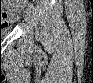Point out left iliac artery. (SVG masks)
<instances>
[{"label":"left iliac artery","mask_w":93,"mask_h":83,"mask_svg":"<svg viewBox=\"0 0 93 83\" xmlns=\"http://www.w3.org/2000/svg\"><path fill=\"white\" fill-rule=\"evenodd\" d=\"M30 10H34V7L32 5H30Z\"/></svg>","instance_id":"1"}]
</instances>
